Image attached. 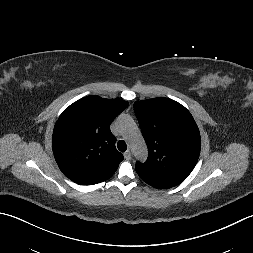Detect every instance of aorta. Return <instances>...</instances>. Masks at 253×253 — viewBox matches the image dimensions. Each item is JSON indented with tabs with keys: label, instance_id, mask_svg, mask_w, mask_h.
<instances>
[{
	"label": "aorta",
	"instance_id": "obj_1",
	"mask_svg": "<svg viewBox=\"0 0 253 253\" xmlns=\"http://www.w3.org/2000/svg\"><path fill=\"white\" fill-rule=\"evenodd\" d=\"M119 126L121 130L127 134L135 156L137 158H145L147 149L134 121L129 117H124L120 120Z\"/></svg>",
	"mask_w": 253,
	"mask_h": 253
}]
</instances>
